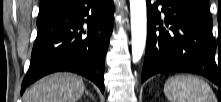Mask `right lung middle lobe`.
I'll list each match as a JSON object with an SVG mask.
<instances>
[{"mask_svg": "<svg viewBox=\"0 0 221 102\" xmlns=\"http://www.w3.org/2000/svg\"><path fill=\"white\" fill-rule=\"evenodd\" d=\"M56 11H57V9H43V10H39V15H38L37 22L45 19L46 17H48L49 15L53 14Z\"/></svg>", "mask_w": 221, "mask_h": 102, "instance_id": "1", "label": "right lung middle lobe"}]
</instances>
